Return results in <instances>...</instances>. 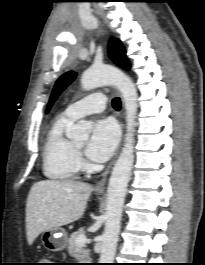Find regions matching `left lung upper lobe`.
<instances>
[{
	"label": "left lung upper lobe",
	"instance_id": "obj_1",
	"mask_svg": "<svg viewBox=\"0 0 205 265\" xmlns=\"http://www.w3.org/2000/svg\"><path fill=\"white\" fill-rule=\"evenodd\" d=\"M109 55L113 62L124 70L130 69V63L126 57V51L121 41L118 39H112L109 42ZM76 72L69 71L63 74L56 82L49 103L47 112L50 110L52 104L55 102L59 94L75 79Z\"/></svg>",
	"mask_w": 205,
	"mask_h": 265
}]
</instances>
